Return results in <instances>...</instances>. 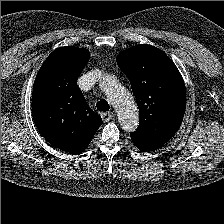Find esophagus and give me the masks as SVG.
Segmentation results:
<instances>
[{
  "label": "esophagus",
  "instance_id": "1",
  "mask_svg": "<svg viewBox=\"0 0 224 224\" xmlns=\"http://www.w3.org/2000/svg\"><path fill=\"white\" fill-rule=\"evenodd\" d=\"M101 117L104 122H109L113 119L114 115L112 112H104L102 113Z\"/></svg>",
  "mask_w": 224,
  "mask_h": 224
}]
</instances>
